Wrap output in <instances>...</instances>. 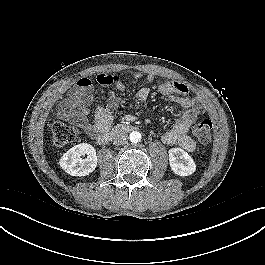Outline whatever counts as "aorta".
I'll return each mask as SVG.
<instances>
[{"instance_id":"aorta-1","label":"aorta","mask_w":265,"mask_h":265,"mask_svg":"<svg viewBox=\"0 0 265 265\" xmlns=\"http://www.w3.org/2000/svg\"><path fill=\"white\" fill-rule=\"evenodd\" d=\"M129 139L132 143H138L141 141V133L138 131H133L130 133Z\"/></svg>"}]
</instances>
